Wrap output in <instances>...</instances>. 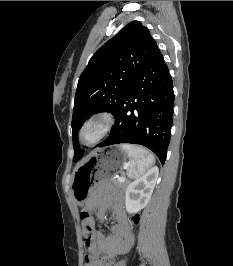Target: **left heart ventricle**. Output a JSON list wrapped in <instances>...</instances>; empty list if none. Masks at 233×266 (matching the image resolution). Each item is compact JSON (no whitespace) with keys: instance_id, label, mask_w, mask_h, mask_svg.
Instances as JSON below:
<instances>
[{"instance_id":"1","label":"left heart ventricle","mask_w":233,"mask_h":266,"mask_svg":"<svg viewBox=\"0 0 233 266\" xmlns=\"http://www.w3.org/2000/svg\"><path fill=\"white\" fill-rule=\"evenodd\" d=\"M97 133H98V127L90 126L84 132V139L86 141H91L96 137Z\"/></svg>"}]
</instances>
